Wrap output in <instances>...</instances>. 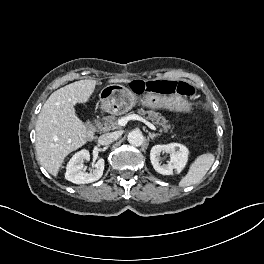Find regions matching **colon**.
Wrapping results in <instances>:
<instances>
[{"mask_svg": "<svg viewBox=\"0 0 264 264\" xmlns=\"http://www.w3.org/2000/svg\"><path fill=\"white\" fill-rule=\"evenodd\" d=\"M132 89L136 93H144L147 91H154L161 94H173L179 93L181 95H191L193 88L184 82H173V81H155V82H144L134 81L132 83Z\"/></svg>", "mask_w": 264, "mask_h": 264, "instance_id": "1", "label": "colon"}]
</instances>
